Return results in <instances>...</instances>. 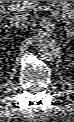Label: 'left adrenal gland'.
<instances>
[{"instance_id":"1","label":"left adrenal gland","mask_w":74,"mask_h":122,"mask_svg":"<svg viewBox=\"0 0 74 122\" xmlns=\"http://www.w3.org/2000/svg\"><path fill=\"white\" fill-rule=\"evenodd\" d=\"M64 29L67 32V34H69L70 30L68 29V27L67 26H64Z\"/></svg>"}]
</instances>
